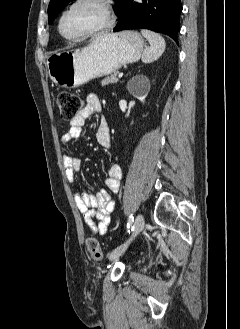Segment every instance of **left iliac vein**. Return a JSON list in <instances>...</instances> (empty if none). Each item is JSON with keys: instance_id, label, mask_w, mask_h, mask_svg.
Masks as SVG:
<instances>
[{"instance_id": "obj_1", "label": "left iliac vein", "mask_w": 240, "mask_h": 329, "mask_svg": "<svg viewBox=\"0 0 240 329\" xmlns=\"http://www.w3.org/2000/svg\"><path fill=\"white\" fill-rule=\"evenodd\" d=\"M144 226H145L144 217L141 214L137 215L134 222V230L131 237L110 253L109 260L114 261L120 255H122L128 248L129 244L134 240V238L143 230Z\"/></svg>"}]
</instances>
